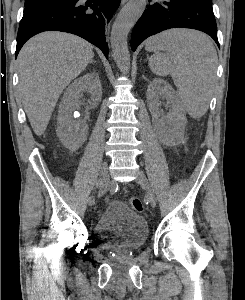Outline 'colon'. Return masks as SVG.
<instances>
[{"label":"colon","instance_id":"5ec220e1","mask_svg":"<svg viewBox=\"0 0 245 300\" xmlns=\"http://www.w3.org/2000/svg\"><path fill=\"white\" fill-rule=\"evenodd\" d=\"M130 205H131V208L136 212H141L144 208L143 201L138 197L132 198L130 200Z\"/></svg>","mask_w":245,"mask_h":300}]
</instances>
